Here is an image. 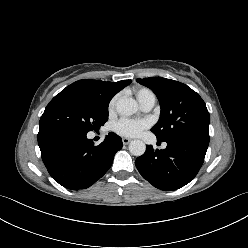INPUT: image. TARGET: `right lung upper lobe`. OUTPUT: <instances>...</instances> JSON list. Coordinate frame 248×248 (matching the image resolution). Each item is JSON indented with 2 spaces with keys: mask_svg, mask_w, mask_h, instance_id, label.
Wrapping results in <instances>:
<instances>
[{
  "mask_svg": "<svg viewBox=\"0 0 248 248\" xmlns=\"http://www.w3.org/2000/svg\"><path fill=\"white\" fill-rule=\"evenodd\" d=\"M130 83L131 80L105 82L82 79L67 86L62 92L79 95L99 106H108L112 97Z\"/></svg>",
  "mask_w": 248,
  "mask_h": 248,
  "instance_id": "1",
  "label": "right lung upper lobe"
}]
</instances>
